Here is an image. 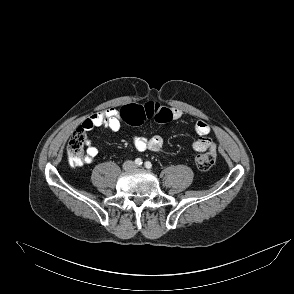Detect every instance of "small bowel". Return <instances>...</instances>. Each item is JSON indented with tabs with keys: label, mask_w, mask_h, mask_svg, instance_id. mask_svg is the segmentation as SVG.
I'll use <instances>...</instances> for the list:
<instances>
[{
	"label": "small bowel",
	"mask_w": 294,
	"mask_h": 294,
	"mask_svg": "<svg viewBox=\"0 0 294 294\" xmlns=\"http://www.w3.org/2000/svg\"><path fill=\"white\" fill-rule=\"evenodd\" d=\"M172 120L181 119L183 112L178 108H171ZM95 127H104L112 132H118L122 127V120L120 117V110L117 108H108L104 111L91 115L82 123V129L85 131L91 130ZM195 132L198 137L193 142V149L197 152L214 151L216 146L214 142L208 137L210 132L209 125L203 121L198 120L194 125ZM133 145L136 150L143 152L150 150L154 153H161L164 149V141L162 137L154 135L151 137L135 136L133 138ZM87 150L84 158L85 163L90 164L98 155V149L87 141Z\"/></svg>",
	"instance_id": "obj_1"
}]
</instances>
